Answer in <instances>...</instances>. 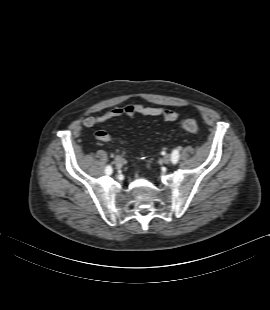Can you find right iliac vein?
Instances as JSON below:
<instances>
[{"label": "right iliac vein", "instance_id": "63e3f726", "mask_svg": "<svg viewBox=\"0 0 270 310\" xmlns=\"http://www.w3.org/2000/svg\"><path fill=\"white\" fill-rule=\"evenodd\" d=\"M115 164H116V166H122V164H123V158L122 157H120V156H117L116 158H115Z\"/></svg>", "mask_w": 270, "mask_h": 310}]
</instances>
